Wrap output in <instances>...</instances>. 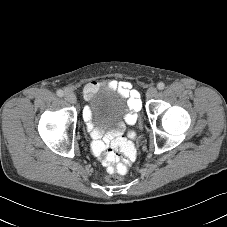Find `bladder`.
Here are the masks:
<instances>
[{"instance_id": "31cf9c89", "label": "bladder", "mask_w": 227, "mask_h": 227, "mask_svg": "<svg viewBox=\"0 0 227 227\" xmlns=\"http://www.w3.org/2000/svg\"><path fill=\"white\" fill-rule=\"evenodd\" d=\"M90 103L93 107L100 108L104 105L105 103V97L102 92H97L95 93L91 98H90ZM126 116V113L124 112L121 116H110L109 123L102 124L103 129L108 130L111 129L116 123H119L124 117Z\"/></svg>"}]
</instances>
